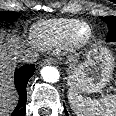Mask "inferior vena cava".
<instances>
[{
	"label": "inferior vena cava",
	"mask_w": 116,
	"mask_h": 116,
	"mask_svg": "<svg viewBox=\"0 0 116 116\" xmlns=\"http://www.w3.org/2000/svg\"><path fill=\"white\" fill-rule=\"evenodd\" d=\"M17 60L21 64H32L36 61V57L30 51H24L17 56Z\"/></svg>",
	"instance_id": "obj_1"
}]
</instances>
